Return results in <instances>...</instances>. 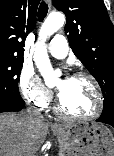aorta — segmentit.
Returning a JSON list of instances; mask_svg holds the SVG:
<instances>
[{"label":"aorta","instance_id":"762f6f07","mask_svg":"<svg viewBox=\"0 0 114 156\" xmlns=\"http://www.w3.org/2000/svg\"><path fill=\"white\" fill-rule=\"evenodd\" d=\"M64 23L65 17L63 14L52 13L44 21L39 32V41L36 45L34 61L46 84L55 82L58 73L53 71L51 67L50 60L47 54V49L45 46V41L47 37L58 31L64 25Z\"/></svg>","mask_w":114,"mask_h":156}]
</instances>
